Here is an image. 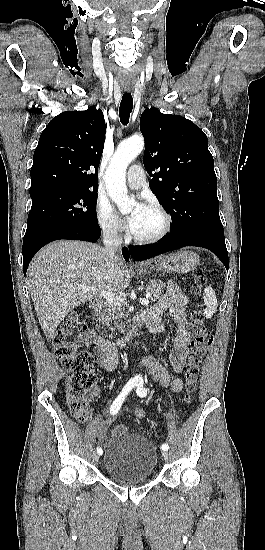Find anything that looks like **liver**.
Masks as SVG:
<instances>
[{
    "instance_id": "obj_1",
    "label": "liver",
    "mask_w": 265,
    "mask_h": 550,
    "mask_svg": "<svg viewBox=\"0 0 265 550\" xmlns=\"http://www.w3.org/2000/svg\"><path fill=\"white\" fill-rule=\"evenodd\" d=\"M27 277L40 326L48 339L73 309L101 296L102 291H123L130 284V273L121 257L111 264L104 248L83 241L50 243L33 258ZM78 285L94 290L83 292Z\"/></svg>"
}]
</instances>
